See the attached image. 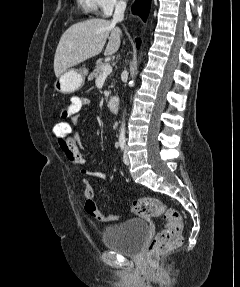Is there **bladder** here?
I'll use <instances>...</instances> for the list:
<instances>
[{"label":"bladder","mask_w":240,"mask_h":287,"mask_svg":"<svg viewBox=\"0 0 240 287\" xmlns=\"http://www.w3.org/2000/svg\"><path fill=\"white\" fill-rule=\"evenodd\" d=\"M150 234L147 222L143 219H129L121 224L104 229L102 240L105 247L128 256L141 253Z\"/></svg>","instance_id":"obj_1"}]
</instances>
